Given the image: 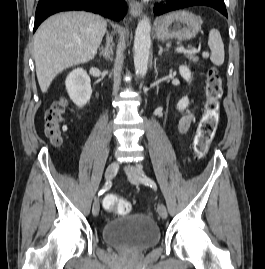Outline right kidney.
Wrapping results in <instances>:
<instances>
[{"label":"right kidney","mask_w":265,"mask_h":269,"mask_svg":"<svg viewBox=\"0 0 265 269\" xmlns=\"http://www.w3.org/2000/svg\"><path fill=\"white\" fill-rule=\"evenodd\" d=\"M70 99L78 106L83 107L90 100L92 89L90 77L82 68L74 69L65 81Z\"/></svg>","instance_id":"ca27d5eb"}]
</instances>
